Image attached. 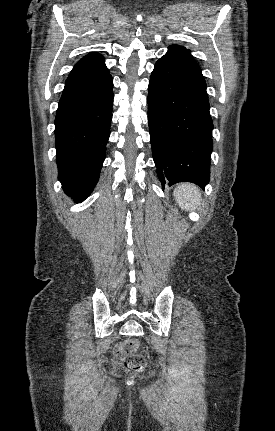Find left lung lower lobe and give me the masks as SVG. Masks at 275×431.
<instances>
[{
    "instance_id": "1",
    "label": "left lung lower lobe",
    "mask_w": 275,
    "mask_h": 431,
    "mask_svg": "<svg viewBox=\"0 0 275 431\" xmlns=\"http://www.w3.org/2000/svg\"><path fill=\"white\" fill-rule=\"evenodd\" d=\"M201 68L181 46L172 45L155 64L148 93V123L157 174L165 183L193 182L210 175L213 123Z\"/></svg>"
}]
</instances>
